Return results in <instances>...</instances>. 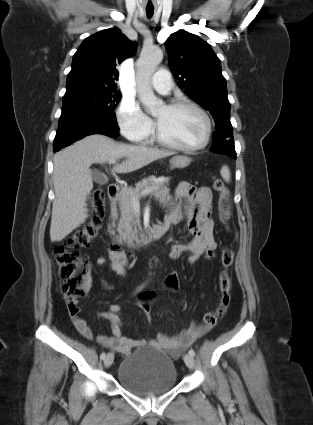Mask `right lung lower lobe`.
Returning a JSON list of instances; mask_svg holds the SVG:
<instances>
[{"mask_svg": "<svg viewBox=\"0 0 313 425\" xmlns=\"http://www.w3.org/2000/svg\"><path fill=\"white\" fill-rule=\"evenodd\" d=\"M118 129L115 115L78 106L63 107L53 151L91 134L117 137Z\"/></svg>", "mask_w": 313, "mask_h": 425, "instance_id": "1", "label": "right lung lower lobe"}]
</instances>
